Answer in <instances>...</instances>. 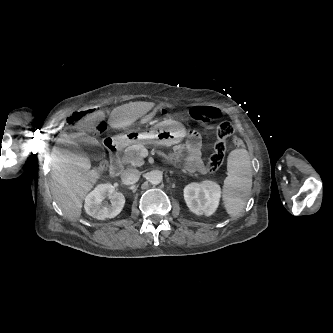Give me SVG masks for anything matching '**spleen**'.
I'll return each instance as SVG.
<instances>
[{"instance_id": "3e777b00", "label": "spleen", "mask_w": 333, "mask_h": 333, "mask_svg": "<svg viewBox=\"0 0 333 333\" xmlns=\"http://www.w3.org/2000/svg\"><path fill=\"white\" fill-rule=\"evenodd\" d=\"M252 187V167L246 149H235L228 156L223 201L227 213L236 217L244 209Z\"/></svg>"}]
</instances>
